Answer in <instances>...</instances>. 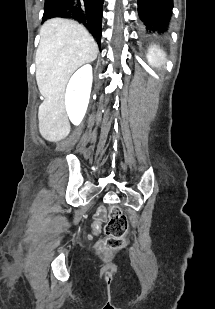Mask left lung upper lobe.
Instances as JSON below:
<instances>
[{
  "mask_svg": "<svg viewBox=\"0 0 215 309\" xmlns=\"http://www.w3.org/2000/svg\"><path fill=\"white\" fill-rule=\"evenodd\" d=\"M138 14L145 33H166L172 16L173 0H137Z\"/></svg>",
  "mask_w": 215,
  "mask_h": 309,
  "instance_id": "1",
  "label": "left lung upper lobe"
}]
</instances>
